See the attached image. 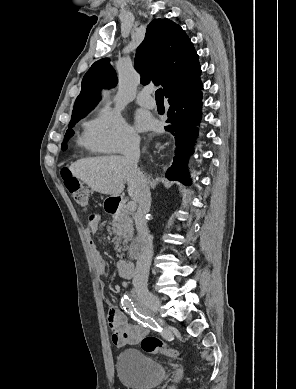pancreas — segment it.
I'll use <instances>...</instances> for the list:
<instances>
[{
	"instance_id": "obj_1",
	"label": "pancreas",
	"mask_w": 296,
	"mask_h": 389,
	"mask_svg": "<svg viewBox=\"0 0 296 389\" xmlns=\"http://www.w3.org/2000/svg\"><path fill=\"white\" fill-rule=\"evenodd\" d=\"M112 232L115 234L116 249H122L121 243L126 245L131 240L133 233V220L126 209L119 211L112 220Z\"/></svg>"
}]
</instances>
